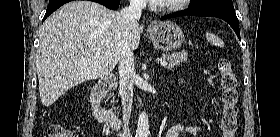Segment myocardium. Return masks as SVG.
I'll use <instances>...</instances> for the list:
<instances>
[{
    "label": "myocardium",
    "mask_w": 280,
    "mask_h": 137,
    "mask_svg": "<svg viewBox=\"0 0 280 137\" xmlns=\"http://www.w3.org/2000/svg\"><path fill=\"white\" fill-rule=\"evenodd\" d=\"M186 2L187 0H176L174 3L169 5L163 6L152 4L151 7L158 12H172L181 9Z\"/></svg>",
    "instance_id": "myocardium-1"
}]
</instances>
